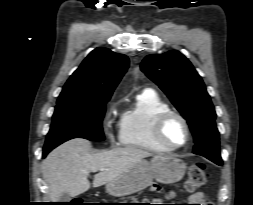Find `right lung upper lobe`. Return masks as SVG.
Masks as SVG:
<instances>
[{
  "label": "right lung upper lobe",
  "instance_id": "right-lung-upper-lobe-1",
  "mask_svg": "<svg viewBox=\"0 0 253 205\" xmlns=\"http://www.w3.org/2000/svg\"><path fill=\"white\" fill-rule=\"evenodd\" d=\"M128 65L127 56L107 48H96L68 79L57 103L99 102L110 99Z\"/></svg>",
  "mask_w": 253,
  "mask_h": 205
}]
</instances>
